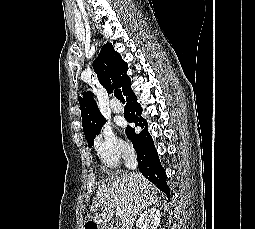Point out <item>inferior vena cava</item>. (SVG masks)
Returning <instances> with one entry per match:
<instances>
[{
  "label": "inferior vena cava",
  "instance_id": "obj_1",
  "mask_svg": "<svg viewBox=\"0 0 255 229\" xmlns=\"http://www.w3.org/2000/svg\"><path fill=\"white\" fill-rule=\"evenodd\" d=\"M125 166L131 170H135L137 168V157L133 149H128L124 153Z\"/></svg>",
  "mask_w": 255,
  "mask_h": 229
}]
</instances>
